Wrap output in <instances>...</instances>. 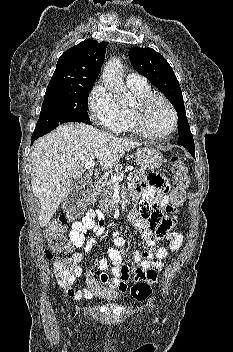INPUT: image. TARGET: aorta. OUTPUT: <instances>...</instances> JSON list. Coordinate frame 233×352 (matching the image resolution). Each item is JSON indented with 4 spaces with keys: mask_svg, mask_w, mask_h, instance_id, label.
Wrapping results in <instances>:
<instances>
[{
    "mask_svg": "<svg viewBox=\"0 0 233 352\" xmlns=\"http://www.w3.org/2000/svg\"><path fill=\"white\" fill-rule=\"evenodd\" d=\"M102 79L105 88L119 103L126 104L132 100V94L124 84L123 69L120 59L113 58L106 63Z\"/></svg>",
    "mask_w": 233,
    "mask_h": 352,
    "instance_id": "1",
    "label": "aorta"
}]
</instances>
